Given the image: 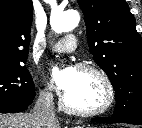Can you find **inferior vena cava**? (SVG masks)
<instances>
[{
    "label": "inferior vena cava",
    "instance_id": "1",
    "mask_svg": "<svg viewBox=\"0 0 142 128\" xmlns=\"http://www.w3.org/2000/svg\"><path fill=\"white\" fill-rule=\"evenodd\" d=\"M33 115L41 122L42 128H50V125L57 120L51 92L40 94L34 106Z\"/></svg>",
    "mask_w": 142,
    "mask_h": 128
}]
</instances>
